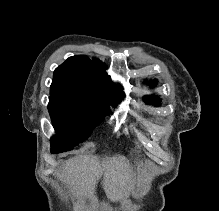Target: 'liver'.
Masks as SVG:
<instances>
[{"instance_id": "1", "label": "liver", "mask_w": 219, "mask_h": 211, "mask_svg": "<svg viewBox=\"0 0 219 211\" xmlns=\"http://www.w3.org/2000/svg\"><path fill=\"white\" fill-rule=\"evenodd\" d=\"M119 159H124V157H122V155H119V157H111L110 163L109 161L100 163L97 157H91L90 159V157H85V155L70 157V159L64 163V169L59 173V177H61L65 183H69L71 189L84 191L85 195L93 197L94 193H96L98 179L103 175L104 189L108 197L113 199V191L117 189L118 183L123 175V171H121L123 165V169H125V171L127 169V163L119 161ZM123 181H125V179H123ZM128 191H130V187ZM95 203L98 205L97 199Z\"/></svg>"}]
</instances>
